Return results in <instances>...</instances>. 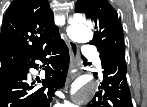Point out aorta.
<instances>
[{
  "label": "aorta",
  "mask_w": 147,
  "mask_h": 107,
  "mask_svg": "<svg viewBox=\"0 0 147 107\" xmlns=\"http://www.w3.org/2000/svg\"><path fill=\"white\" fill-rule=\"evenodd\" d=\"M69 38L78 43H87L92 40L93 33L89 26L84 23H73L67 28ZM98 89L95 80L88 76L78 78L72 85L73 101L76 104L89 102Z\"/></svg>",
  "instance_id": "obj_1"
}]
</instances>
